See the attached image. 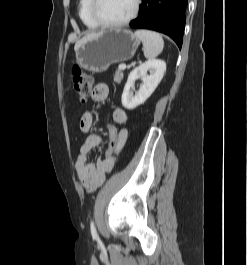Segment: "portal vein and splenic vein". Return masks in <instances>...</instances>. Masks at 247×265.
<instances>
[{"label":"portal vein and splenic vein","mask_w":247,"mask_h":265,"mask_svg":"<svg viewBox=\"0 0 247 265\" xmlns=\"http://www.w3.org/2000/svg\"><path fill=\"white\" fill-rule=\"evenodd\" d=\"M118 69L119 70H125L126 69V65L125 64H120Z\"/></svg>","instance_id":"portal-vein-and-splenic-vein-1"}]
</instances>
